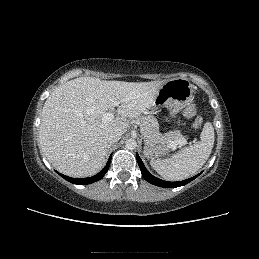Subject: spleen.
<instances>
[{
  "label": "spleen",
  "instance_id": "obj_1",
  "mask_svg": "<svg viewBox=\"0 0 259 259\" xmlns=\"http://www.w3.org/2000/svg\"><path fill=\"white\" fill-rule=\"evenodd\" d=\"M200 138V141L170 158L151 160V166L160 176L169 181H180L188 178L206 163L212 152L214 128L211 123H205Z\"/></svg>",
  "mask_w": 259,
  "mask_h": 259
}]
</instances>
